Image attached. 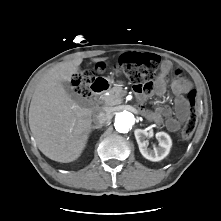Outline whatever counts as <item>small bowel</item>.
<instances>
[{
  "mask_svg": "<svg viewBox=\"0 0 221 221\" xmlns=\"http://www.w3.org/2000/svg\"><path fill=\"white\" fill-rule=\"evenodd\" d=\"M148 53H124L120 60L126 61L131 56ZM173 70V65L168 60H163L160 64V73L150 92L143 89L136 88V93L140 100H145L148 95L156 94L163 96L165 94L166 80ZM191 87L190 82L187 80L183 70L176 69L174 71V80L172 81V88L177 93L178 98L175 101L174 110L166 105H158L153 110L143 109L146 116L154 122L161 123L164 119L166 128L171 132H176L180 129L181 125L186 121L189 113L188 104L183 97V94ZM174 114V117L172 116Z\"/></svg>",
  "mask_w": 221,
  "mask_h": 221,
  "instance_id": "1",
  "label": "small bowel"
}]
</instances>
